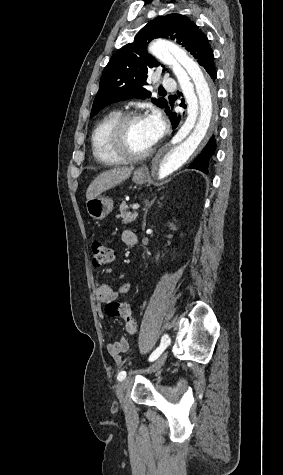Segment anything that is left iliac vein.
I'll list each match as a JSON object with an SVG mask.
<instances>
[{
	"instance_id": "obj_1",
	"label": "left iliac vein",
	"mask_w": 283,
	"mask_h": 475,
	"mask_svg": "<svg viewBox=\"0 0 283 475\" xmlns=\"http://www.w3.org/2000/svg\"><path fill=\"white\" fill-rule=\"evenodd\" d=\"M165 358H166L165 355L158 358L157 361L152 366H150V368L147 370V372H158V371H160L161 368L164 365ZM130 380H131L130 377L122 380L120 383H118L117 388H116V395H117V397L119 399V402L122 406L125 403L124 394H125V391L127 390L128 386H129V384H130Z\"/></svg>"
}]
</instances>
